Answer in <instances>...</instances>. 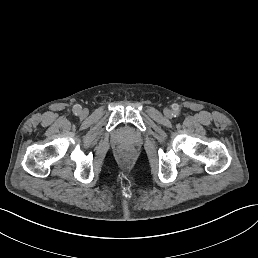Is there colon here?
I'll list each match as a JSON object with an SVG mask.
<instances>
[{
    "label": "colon",
    "instance_id": "obj_1",
    "mask_svg": "<svg viewBox=\"0 0 258 258\" xmlns=\"http://www.w3.org/2000/svg\"><path fill=\"white\" fill-rule=\"evenodd\" d=\"M131 152L132 151L129 148H122V149H120V153L124 157H128L131 154Z\"/></svg>",
    "mask_w": 258,
    "mask_h": 258
}]
</instances>
